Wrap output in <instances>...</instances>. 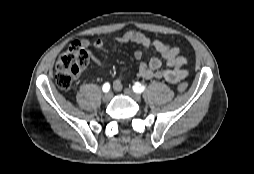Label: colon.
Segmentation results:
<instances>
[{
	"mask_svg": "<svg viewBox=\"0 0 254 174\" xmlns=\"http://www.w3.org/2000/svg\"><path fill=\"white\" fill-rule=\"evenodd\" d=\"M89 63V54L81 42L75 41L60 55L55 69L54 79L57 86L67 89L71 86L73 78L82 71ZM180 92L187 90V83L180 82Z\"/></svg>",
	"mask_w": 254,
	"mask_h": 174,
	"instance_id": "obj_1",
	"label": "colon"
}]
</instances>
